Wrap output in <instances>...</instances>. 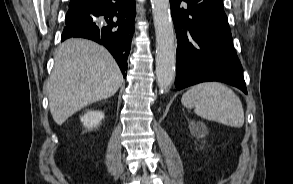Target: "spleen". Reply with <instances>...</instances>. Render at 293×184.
I'll use <instances>...</instances> for the list:
<instances>
[{"instance_id": "3e777b00", "label": "spleen", "mask_w": 293, "mask_h": 184, "mask_svg": "<svg viewBox=\"0 0 293 184\" xmlns=\"http://www.w3.org/2000/svg\"><path fill=\"white\" fill-rule=\"evenodd\" d=\"M182 104L194 108L196 115L224 125L242 127L244 111L240 98L228 86L219 82H205L191 87L181 99Z\"/></svg>"}]
</instances>
